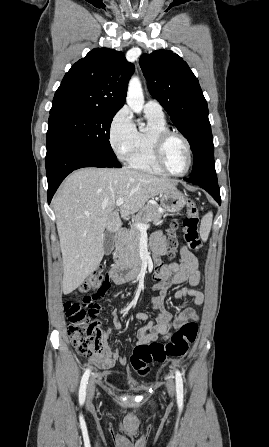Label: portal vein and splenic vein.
I'll list each match as a JSON object with an SVG mask.
<instances>
[{
    "instance_id": "obj_1",
    "label": "portal vein and splenic vein",
    "mask_w": 269,
    "mask_h": 447,
    "mask_svg": "<svg viewBox=\"0 0 269 447\" xmlns=\"http://www.w3.org/2000/svg\"><path fill=\"white\" fill-rule=\"evenodd\" d=\"M122 204H124V200L123 198H119V200H116V206H122ZM137 229H140V231H147L149 224H140V222H138V224H135Z\"/></svg>"
}]
</instances>
